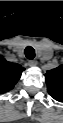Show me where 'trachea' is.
Instances as JSON below:
<instances>
[{"mask_svg":"<svg viewBox=\"0 0 63 123\" xmlns=\"http://www.w3.org/2000/svg\"><path fill=\"white\" fill-rule=\"evenodd\" d=\"M24 53H25L26 58L29 60H33L35 58V50L31 46H27L25 48Z\"/></svg>","mask_w":63,"mask_h":123,"instance_id":"obj_1","label":"trachea"}]
</instances>
